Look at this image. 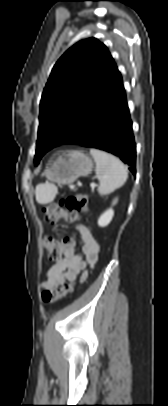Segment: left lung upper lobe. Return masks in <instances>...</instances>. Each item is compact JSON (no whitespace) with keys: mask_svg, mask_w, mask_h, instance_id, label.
<instances>
[{"mask_svg":"<svg viewBox=\"0 0 168 406\" xmlns=\"http://www.w3.org/2000/svg\"><path fill=\"white\" fill-rule=\"evenodd\" d=\"M118 72L106 46L95 38L76 43L61 56L41 98L35 164L80 130Z\"/></svg>","mask_w":168,"mask_h":406,"instance_id":"obj_1","label":"left lung upper lobe"}]
</instances>
